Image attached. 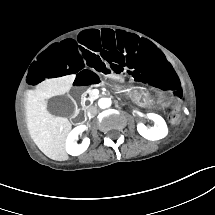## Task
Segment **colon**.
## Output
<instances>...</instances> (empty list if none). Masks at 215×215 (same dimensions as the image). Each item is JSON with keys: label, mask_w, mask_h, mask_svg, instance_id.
I'll use <instances>...</instances> for the list:
<instances>
[{"label": "colon", "mask_w": 215, "mask_h": 215, "mask_svg": "<svg viewBox=\"0 0 215 215\" xmlns=\"http://www.w3.org/2000/svg\"><path fill=\"white\" fill-rule=\"evenodd\" d=\"M170 118H171V121H173V122L175 121V116L174 115H171Z\"/></svg>", "instance_id": "5ec220e1"}]
</instances>
